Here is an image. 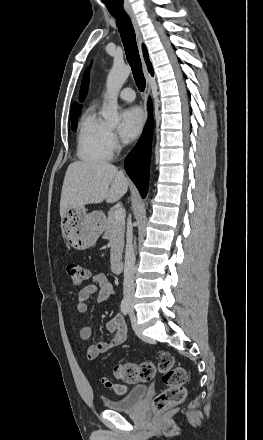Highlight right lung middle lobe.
Returning a JSON list of instances; mask_svg holds the SVG:
<instances>
[{"mask_svg": "<svg viewBox=\"0 0 263 440\" xmlns=\"http://www.w3.org/2000/svg\"><path fill=\"white\" fill-rule=\"evenodd\" d=\"M72 130L76 131L77 129V116L71 118Z\"/></svg>", "mask_w": 263, "mask_h": 440, "instance_id": "1", "label": "right lung middle lobe"}]
</instances>
